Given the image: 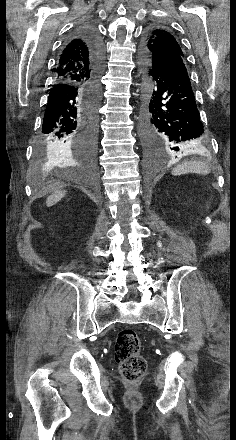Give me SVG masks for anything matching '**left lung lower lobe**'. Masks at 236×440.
Listing matches in <instances>:
<instances>
[{
    "instance_id": "1",
    "label": "left lung lower lobe",
    "mask_w": 236,
    "mask_h": 440,
    "mask_svg": "<svg viewBox=\"0 0 236 440\" xmlns=\"http://www.w3.org/2000/svg\"><path fill=\"white\" fill-rule=\"evenodd\" d=\"M145 66L149 88L141 130L147 152L154 156L165 149L179 152L203 145L207 134L185 60L173 56Z\"/></svg>"
}]
</instances>
